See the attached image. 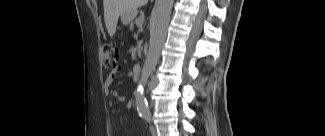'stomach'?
I'll list each match as a JSON object with an SVG mask.
<instances>
[{"label":"stomach","mask_w":325,"mask_h":136,"mask_svg":"<svg viewBox=\"0 0 325 136\" xmlns=\"http://www.w3.org/2000/svg\"><path fill=\"white\" fill-rule=\"evenodd\" d=\"M136 15H137V12H135V11L129 12V13L123 14L121 16V19H122L123 23L128 24L136 17Z\"/></svg>","instance_id":"1"}]
</instances>
